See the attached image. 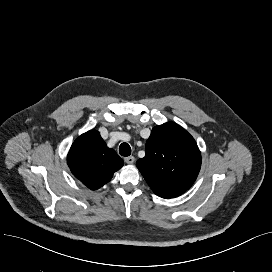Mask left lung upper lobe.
Segmentation results:
<instances>
[{"label":"left lung upper lobe","instance_id":"5c2ea615","mask_svg":"<svg viewBox=\"0 0 272 272\" xmlns=\"http://www.w3.org/2000/svg\"><path fill=\"white\" fill-rule=\"evenodd\" d=\"M145 157L136 162L154 193L174 198L187 191L197 178L201 153L194 138L174 122L152 129Z\"/></svg>","mask_w":272,"mask_h":272}]
</instances>
